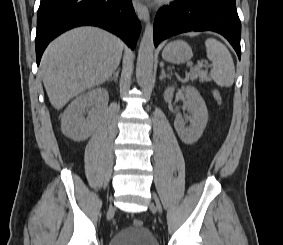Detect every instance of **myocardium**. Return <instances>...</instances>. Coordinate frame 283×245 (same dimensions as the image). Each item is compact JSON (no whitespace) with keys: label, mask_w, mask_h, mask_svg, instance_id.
I'll return each mask as SVG.
<instances>
[{"label":"myocardium","mask_w":283,"mask_h":245,"mask_svg":"<svg viewBox=\"0 0 283 245\" xmlns=\"http://www.w3.org/2000/svg\"><path fill=\"white\" fill-rule=\"evenodd\" d=\"M175 0H160V2L162 3V4H171V3H173Z\"/></svg>","instance_id":"1"}]
</instances>
